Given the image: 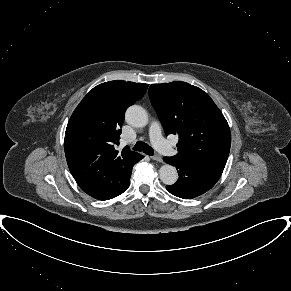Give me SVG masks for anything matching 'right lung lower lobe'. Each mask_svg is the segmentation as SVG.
<instances>
[{"mask_svg": "<svg viewBox=\"0 0 291 291\" xmlns=\"http://www.w3.org/2000/svg\"><path fill=\"white\" fill-rule=\"evenodd\" d=\"M142 158H143V156L140 155V158L138 159V161H139L140 159H142ZM138 161H137V162H138ZM130 176H131V175H130ZM130 176H129L128 179L125 181V183L123 184V186L121 187V189L117 192V194H115V195L112 196L111 198H114V197L120 195L121 193H123V192L128 188V186H129V182H130ZM111 198H109V199H111Z\"/></svg>", "mask_w": 291, "mask_h": 291, "instance_id": "1", "label": "right lung lower lobe"}]
</instances>
